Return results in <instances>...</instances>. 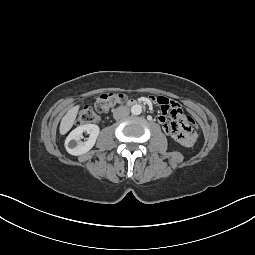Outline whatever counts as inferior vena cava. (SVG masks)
I'll use <instances>...</instances> for the list:
<instances>
[{"label":"inferior vena cava","instance_id":"1","mask_svg":"<svg viewBox=\"0 0 255 255\" xmlns=\"http://www.w3.org/2000/svg\"><path fill=\"white\" fill-rule=\"evenodd\" d=\"M130 111L126 106H119L113 111V117L114 119H122L124 117H127L129 115Z\"/></svg>","mask_w":255,"mask_h":255}]
</instances>
